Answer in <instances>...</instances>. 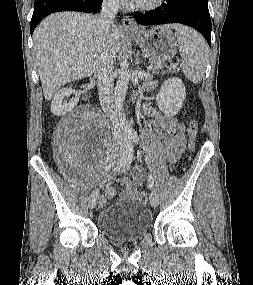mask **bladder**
<instances>
[{
    "instance_id": "1",
    "label": "bladder",
    "mask_w": 253,
    "mask_h": 285,
    "mask_svg": "<svg viewBox=\"0 0 253 285\" xmlns=\"http://www.w3.org/2000/svg\"><path fill=\"white\" fill-rule=\"evenodd\" d=\"M151 225V212L136 201L108 205L98 216L100 231L108 238L119 242L141 239L149 232Z\"/></svg>"
}]
</instances>
